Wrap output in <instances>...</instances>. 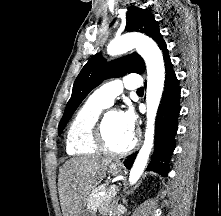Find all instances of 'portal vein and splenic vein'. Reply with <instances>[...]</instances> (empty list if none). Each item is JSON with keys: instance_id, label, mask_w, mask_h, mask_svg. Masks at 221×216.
Listing matches in <instances>:
<instances>
[{"instance_id": "1", "label": "portal vein and splenic vein", "mask_w": 221, "mask_h": 216, "mask_svg": "<svg viewBox=\"0 0 221 216\" xmlns=\"http://www.w3.org/2000/svg\"><path fill=\"white\" fill-rule=\"evenodd\" d=\"M115 189H116V186H115V185L110 186V187L107 189V192H108V191H111V190H115ZM107 192H101V194L103 195V194H106Z\"/></svg>"}]
</instances>
